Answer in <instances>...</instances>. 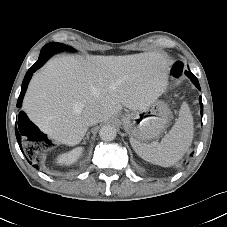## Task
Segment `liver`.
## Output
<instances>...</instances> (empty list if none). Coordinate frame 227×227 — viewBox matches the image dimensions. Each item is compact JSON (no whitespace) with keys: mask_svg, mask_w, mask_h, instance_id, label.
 <instances>
[{"mask_svg":"<svg viewBox=\"0 0 227 227\" xmlns=\"http://www.w3.org/2000/svg\"><path fill=\"white\" fill-rule=\"evenodd\" d=\"M169 72L157 52L56 57L33 76L23 110L49 138L75 146L88 130L89 111L103 122L123 106L145 110L167 90Z\"/></svg>","mask_w":227,"mask_h":227,"instance_id":"1","label":"liver"}]
</instances>
